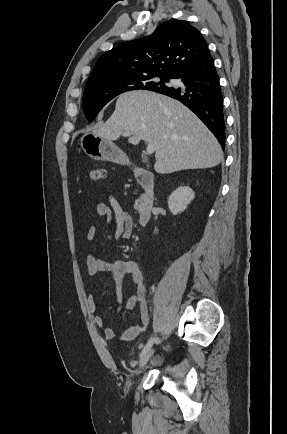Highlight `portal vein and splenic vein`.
<instances>
[{"label": "portal vein and splenic vein", "mask_w": 287, "mask_h": 434, "mask_svg": "<svg viewBox=\"0 0 287 434\" xmlns=\"http://www.w3.org/2000/svg\"><path fill=\"white\" fill-rule=\"evenodd\" d=\"M125 136H130L132 135L130 132H124ZM156 151V146L154 144H148L146 147V153L147 154H152Z\"/></svg>", "instance_id": "18ae733b"}]
</instances>
